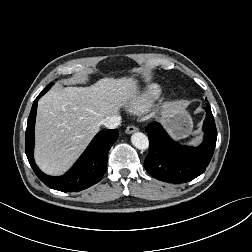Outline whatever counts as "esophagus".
Instances as JSON below:
<instances>
[{
	"mask_svg": "<svg viewBox=\"0 0 252 252\" xmlns=\"http://www.w3.org/2000/svg\"><path fill=\"white\" fill-rule=\"evenodd\" d=\"M136 131H138V128L136 127V126H134V125H130V126H128L127 128H126V133L127 134H132V133H134V132H136Z\"/></svg>",
	"mask_w": 252,
	"mask_h": 252,
	"instance_id": "1",
	"label": "esophagus"
}]
</instances>
